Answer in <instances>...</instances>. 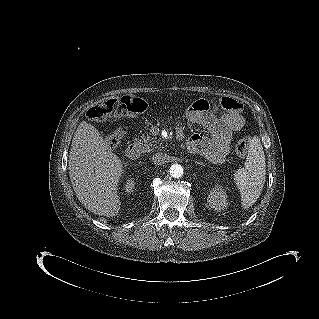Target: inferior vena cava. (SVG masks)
I'll list each match as a JSON object with an SVG mask.
<instances>
[{
    "label": "inferior vena cava",
    "instance_id": "inferior-vena-cava-1",
    "mask_svg": "<svg viewBox=\"0 0 319 319\" xmlns=\"http://www.w3.org/2000/svg\"><path fill=\"white\" fill-rule=\"evenodd\" d=\"M167 160H168L167 154L162 153V152L155 153L152 156V162L155 165H163L167 162Z\"/></svg>",
    "mask_w": 319,
    "mask_h": 319
}]
</instances>
